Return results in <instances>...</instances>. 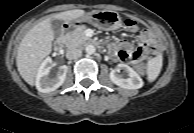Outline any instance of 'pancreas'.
I'll list each match as a JSON object with an SVG mask.
<instances>
[{
  "mask_svg": "<svg viewBox=\"0 0 194 133\" xmlns=\"http://www.w3.org/2000/svg\"><path fill=\"white\" fill-rule=\"evenodd\" d=\"M87 27L81 25L71 33L65 35V42L68 47H79L88 43L91 39L85 35Z\"/></svg>",
  "mask_w": 194,
  "mask_h": 133,
  "instance_id": "pancreas-1",
  "label": "pancreas"
}]
</instances>
